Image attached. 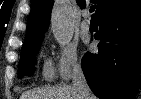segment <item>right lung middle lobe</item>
<instances>
[{"instance_id":"dd1d6c3e","label":"right lung middle lobe","mask_w":141,"mask_h":99,"mask_svg":"<svg viewBox=\"0 0 141 99\" xmlns=\"http://www.w3.org/2000/svg\"><path fill=\"white\" fill-rule=\"evenodd\" d=\"M42 40L43 39L22 46L18 68L19 78H22L24 75L30 76L33 74L35 57L41 46Z\"/></svg>"}]
</instances>
